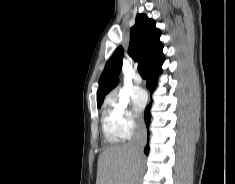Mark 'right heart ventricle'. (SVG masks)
Returning <instances> with one entry per match:
<instances>
[{"label":"right heart ventricle","instance_id":"obj_1","mask_svg":"<svg viewBox=\"0 0 235 184\" xmlns=\"http://www.w3.org/2000/svg\"><path fill=\"white\" fill-rule=\"evenodd\" d=\"M109 113L104 110L103 112V131L106 142L108 143V149L103 154L105 159L113 158L114 156L118 155L121 151L122 145L119 140L118 135L114 131V128L109 119Z\"/></svg>","mask_w":235,"mask_h":184}]
</instances>
